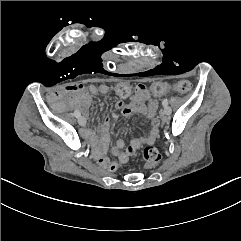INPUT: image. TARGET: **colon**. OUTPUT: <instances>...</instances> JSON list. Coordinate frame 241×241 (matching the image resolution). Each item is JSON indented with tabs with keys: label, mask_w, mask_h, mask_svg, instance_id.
Segmentation results:
<instances>
[{
	"label": "colon",
	"mask_w": 241,
	"mask_h": 241,
	"mask_svg": "<svg viewBox=\"0 0 241 241\" xmlns=\"http://www.w3.org/2000/svg\"><path fill=\"white\" fill-rule=\"evenodd\" d=\"M166 86L162 82H153L149 86V90L153 94H161L165 91ZM194 89V84L188 81H179L175 87V91L179 93L190 92ZM168 92L171 90L169 87L166 89ZM111 91L116 93L118 98H123L125 93H129L131 91V86L128 84L127 79H118L117 84H113L111 86ZM142 156L147 163L144 164L145 170H152L156 163L160 160L161 154L160 152L153 146L148 145L142 151Z\"/></svg>",
	"instance_id": "5ec220e1"
}]
</instances>
